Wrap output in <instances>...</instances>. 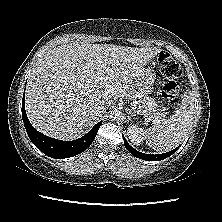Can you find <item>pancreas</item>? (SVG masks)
I'll use <instances>...</instances> for the list:
<instances>
[{
  "instance_id": "obj_1",
  "label": "pancreas",
  "mask_w": 222,
  "mask_h": 222,
  "mask_svg": "<svg viewBox=\"0 0 222 222\" xmlns=\"http://www.w3.org/2000/svg\"><path fill=\"white\" fill-rule=\"evenodd\" d=\"M125 96L136 105V111L144 116L159 119L167 114L166 108L159 106L152 98L144 96L134 89L128 90Z\"/></svg>"
}]
</instances>
